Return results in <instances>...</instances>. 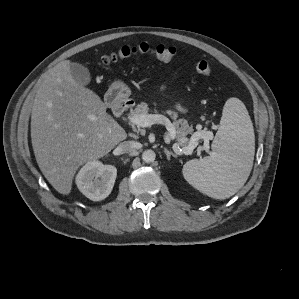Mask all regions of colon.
I'll use <instances>...</instances> for the list:
<instances>
[{
	"mask_svg": "<svg viewBox=\"0 0 299 299\" xmlns=\"http://www.w3.org/2000/svg\"><path fill=\"white\" fill-rule=\"evenodd\" d=\"M176 54V49L171 46L158 45L150 46L147 43H140L134 46H124L117 52L107 54L101 57L103 65H109L120 60H125L138 55H150L162 62H169L173 60ZM194 68L197 73L201 75H210L212 67L206 60L197 59L194 62Z\"/></svg>",
	"mask_w": 299,
	"mask_h": 299,
	"instance_id": "obj_1",
	"label": "colon"
}]
</instances>
